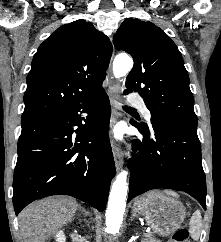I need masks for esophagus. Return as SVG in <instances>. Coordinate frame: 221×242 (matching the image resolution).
<instances>
[{
    "instance_id": "esophagus-1",
    "label": "esophagus",
    "mask_w": 221,
    "mask_h": 242,
    "mask_svg": "<svg viewBox=\"0 0 221 242\" xmlns=\"http://www.w3.org/2000/svg\"><path fill=\"white\" fill-rule=\"evenodd\" d=\"M114 54L112 55L111 61L113 59ZM111 73V65H110V71ZM119 92H120V85L117 83H114L112 80V77H109V86H108V95L110 98L111 106H112V114L110 119V127L111 129L115 126L117 120L119 119L121 113V105L119 101ZM111 147L113 151L114 161H115V167L116 170L119 171L124 164L123 160V153L120 148V146L112 139L111 140Z\"/></svg>"
}]
</instances>
